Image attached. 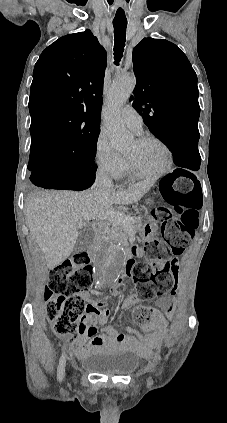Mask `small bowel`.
<instances>
[{
  "label": "small bowel",
  "instance_id": "c3829d8e",
  "mask_svg": "<svg viewBox=\"0 0 227 423\" xmlns=\"http://www.w3.org/2000/svg\"><path fill=\"white\" fill-rule=\"evenodd\" d=\"M176 291L177 285L175 284L171 293L174 295ZM85 298L90 300V302L87 304L85 314L81 319L80 331L70 342L74 353L78 357L84 358L102 348L114 349L118 347L131 349L140 355H144L147 353L148 348L157 344L167 332V321L160 312L153 313L150 322L143 326L145 333L152 334L144 342L140 341L136 332L131 329L126 333H121L109 327H104L98 332L97 325L104 326L108 320L109 310L106 308V302L100 297L90 299L86 295ZM139 301L138 295H131L122 299L120 306L122 308L130 307ZM157 305L168 315H172L174 310V301L172 299H161L157 302Z\"/></svg>",
  "mask_w": 227,
  "mask_h": 423
}]
</instances>
